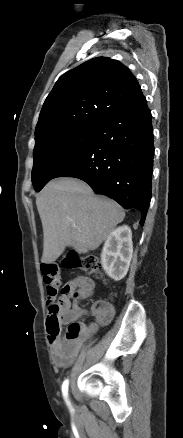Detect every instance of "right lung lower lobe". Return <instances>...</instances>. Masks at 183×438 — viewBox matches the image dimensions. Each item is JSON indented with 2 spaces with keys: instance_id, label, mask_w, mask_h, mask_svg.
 I'll return each mask as SVG.
<instances>
[{
  "instance_id": "obj_1",
  "label": "right lung lower lobe",
  "mask_w": 183,
  "mask_h": 438,
  "mask_svg": "<svg viewBox=\"0 0 183 438\" xmlns=\"http://www.w3.org/2000/svg\"><path fill=\"white\" fill-rule=\"evenodd\" d=\"M153 129L146 99L97 124L88 145L55 176L85 181L125 209L142 213L151 200Z\"/></svg>"
}]
</instances>
